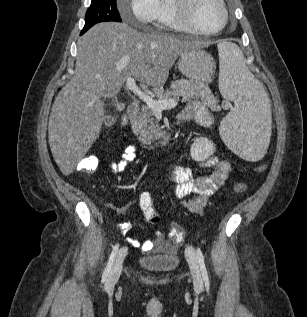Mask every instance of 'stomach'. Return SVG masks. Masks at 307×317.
Segmentation results:
<instances>
[{
  "label": "stomach",
  "instance_id": "stomach-1",
  "mask_svg": "<svg viewBox=\"0 0 307 317\" xmlns=\"http://www.w3.org/2000/svg\"><path fill=\"white\" fill-rule=\"evenodd\" d=\"M178 68L188 79L208 84L212 80L215 62L206 51L191 47L180 55Z\"/></svg>",
  "mask_w": 307,
  "mask_h": 317
}]
</instances>
